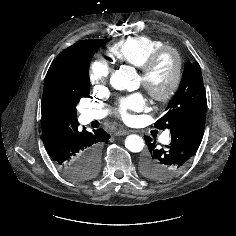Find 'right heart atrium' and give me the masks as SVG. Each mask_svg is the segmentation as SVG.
<instances>
[{
	"mask_svg": "<svg viewBox=\"0 0 236 236\" xmlns=\"http://www.w3.org/2000/svg\"><path fill=\"white\" fill-rule=\"evenodd\" d=\"M111 68L109 64L102 58H95L90 62L88 77L90 84L96 88H102L108 81Z\"/></svg>",
	"mask_w": 236,
	"mask_h": 236,
	"instance_id": "1",
	"label": "right heart atrium"
}]
</instances>
